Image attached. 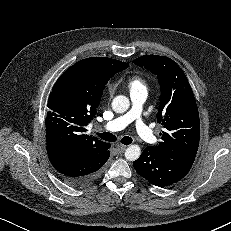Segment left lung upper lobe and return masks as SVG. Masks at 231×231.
<instances>
[{"instance_id": "1", "label": "left lung upper lobe", "mask_w": 231, "mask_h": 231, "mask_svg": "<svg viewBox=\"0 0 231 231\" xmlns=\"http://www.w3.org/2000/svg\"><path fill=\"white\" fill-rule=\"evenodd\" d=\"M158 76L161 88L157 121L164 131L162 142L148 146L157 154L193 164L199 146L200 120L191 86L175 61L159 55H144L133 61Z\"/></svg>"}]
</instances>
